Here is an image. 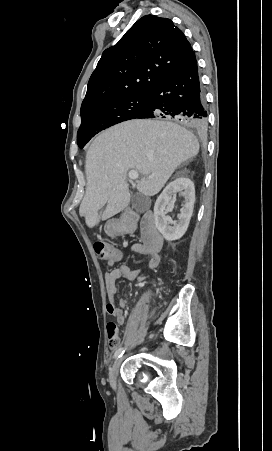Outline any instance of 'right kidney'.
Segmentation results:
<instances>
[{
	"label": "right kidney",
	"instance_id": "1",
	"mask_svg": "<svg viewBox=\"0 0 272 451\" xmlns=\"http://www.w3.org/2000/svg\"><path fill=\"white\" fill-rule=\"evenodd\" d=\"M177 194L184 198V202L180 210L181 214H178L177 222H173L172 218L165 216L168 212L166 206L173 210V202H175ZM194 202L195 186L189 178H176L174 182H170L166 186L154 206L155 226L161 231L165 239L172 241V239H179L184 235L193 214Z\"/></svg>",
	"mask_w": 272,
	"mask_h": 451
}]
</instances>
